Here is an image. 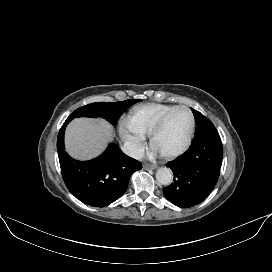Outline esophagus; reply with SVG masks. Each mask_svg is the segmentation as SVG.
<instances>
[{"label": "esophagus", "instance_id": "1", "mask_svg": "<svg viewBox=\"0 0 272 272\" xmlns=\"http://www.w3.org/2000/svg\"><path fill=\"white\" fill-rule=\"evenodd\" d=\"M144 169H151V170H155L157 168L156 165H151V164H144L143 165Z\"/></svg>", "mask_w": 272, "mask_h": 272}]
</instances>
